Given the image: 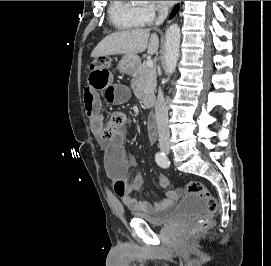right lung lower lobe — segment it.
Masks as SVG:
<instances>
[{"label": "right lung lower lobe", "mask_w": 271, "mask_h": 266, "mask_svg": "<svg viewBox=\"0 0 271 266\" xmlns=\"http://www.w3.org/2000/svg\"><path fill=\"white\" fill-rule=\"evenodd\" d=\"M177 11H178V6H176V8L172 11L170 18H173Z\"/></svg>", "instance_id": "right-lung-lower-lobe-1"}]
</instances>
